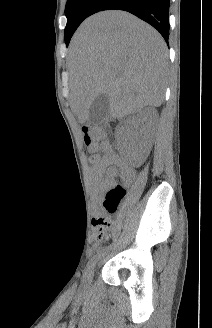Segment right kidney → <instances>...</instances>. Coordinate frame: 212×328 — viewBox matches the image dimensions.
I'll list each match as a JSON object with an SVG mask.
<instances>
[{
	"label": "right kidney",
	"mask_w": 212,
	"mask_h": 328,
	"mask_svg": "<svg viewBox=\"0 0 212 328\" xmlns=\"http://www.w3.org/2000/svg\"><path fill=\"white\" fill-rule=\"evenodd\" d=\"M158 118L157 110L153 107H148L125 121L123 126L125 129L124 138L134 146V150H138L144 140L150 139L154 134Z\"/></svg>",
	"instance_id": "ca27d5eb"
}]
</instances>
